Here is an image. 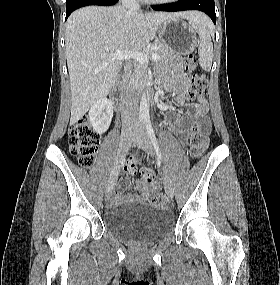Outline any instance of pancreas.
Listing matches in <instances>:
<instances>
[{
    "label": "pancreas",
    "instance_id": "pancreas-1",
    "mask_svg": "<svg viewBox=\"0 0 280 285\" xmlns=\"http://www.w3.org/2000/svg\"><path fill=\"white\" fill-rule=\"evenodd\" d=\"M150 54L157 53L160 59H165L171 56L174 52L161 42H155L153 49L149 51ZM147 64L136 62L134 64L133 73L130 76V85L139 88L145 83L147 79Z\"/></svg>",
    "mask_w": 280,
    "mask_h": 285
}]
</instances>
